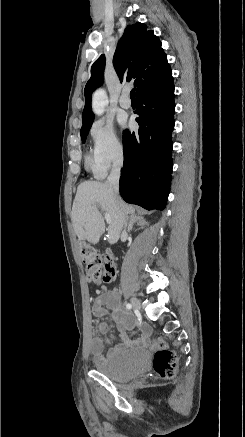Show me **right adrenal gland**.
Masks as SVG:
<instances>
[{
	"label": "right adrenal gland",
	"mask_w": 245,
	"mask_h": 437,
	"mask_svg": "<svg viewBox=\"0 0 245 437\" xmlns=\"http://www.w3.org/2000/svg\"><path fill=\"white\" fill-rule=\"evenodd\" d=\"M127 221H128V232H130L132 230L133 225L135 223H137V225H139V226H144L147 224L143 217L137 216L135 214L131 215L130 217H127Z\"/></svg>",
	"instance_id": "obj_1"
}]
</instances>
